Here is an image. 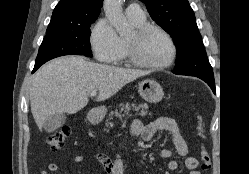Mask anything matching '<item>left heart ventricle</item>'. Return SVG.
Wrapping results in <instances>:
<instances>
[{"label": "left heart ventricle", "mask_w": 249, "mask_h": 174, "mask_svg": "<svg viewBox=\"0 0 249 174\" xmlns=\"http://www.w3.org/2000/svg\"><path fill=\"white\" fill-rule=\"evenodd\" d=\"M140 57L153 64L167 62L172 55V47L165 36L159 32L149 33L139 48Z\"/></svg>", "instance_id": "b2bd125f"}]
</instances>
